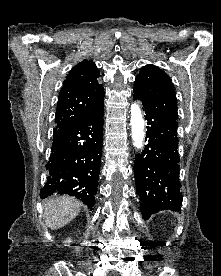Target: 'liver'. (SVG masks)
Masks as SVG:
<instances>
[{
  "label": "liver",
  "mask_w": 221,
  "mask_h": 276,
  "mask_svg": "<svg viewBox=\"0 0 221 276\" xmlns=\"http://www.w3.org/2000/svg\"><path fill=\"white\" fill-rule=\"evenodd\" d=\"M81 202L68 195L54 196L43 203V217L47 227L57 230L72 221L81 210Z\"/></svg>",
  "instance_id": "1"
}]
</instances>
